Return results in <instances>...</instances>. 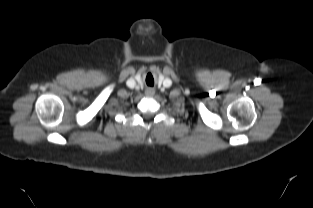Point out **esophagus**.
Listing matches in <instances>:
<instances>
[{
  "mask_svg": "<svg viewBox=\"0 0 313 208\" xmlns=\"http://www.w3.org/2000/svg\"><path fill=\"white\" fill-rule=\"evenodd\" d=\"M145 94H146L147 96H152V95L154 94V91H153L152 89L148 88V89L145 91Z\"/></svg>",
  "mask_w": 313,
  "mask_h": 208,
  "instance_id": "34e87169",
  "label": "esophagus"
}]
</instances>
